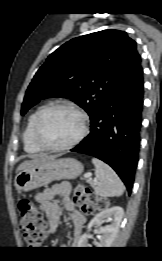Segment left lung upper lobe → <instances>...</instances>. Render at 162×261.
<instances>
[{"label":"left lung upper lobe","mask_w":162,"mask_h":261,"mask_svg":"<svg viewBox=\"0 0 162 261\" xmlns=\"http://www.w3.org/2000/svg\"><path fill=\"white\" fill-rule=\"evenodd\" d=\"M140 65L136 42L124 31L103 30L74 38L39 68L26 91L21 115L42 99L64 97L91 117Z\"/></svg>","instance_id":"1"}]
</instances>
